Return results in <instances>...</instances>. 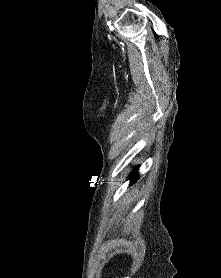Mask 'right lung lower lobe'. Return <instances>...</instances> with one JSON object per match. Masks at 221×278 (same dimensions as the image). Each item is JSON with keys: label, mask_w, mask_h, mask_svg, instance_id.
Here are the masks:
<instances>
[{"label": "right lung lower lobe", "mask_w": 221, "mask_h": 278, "mask_svg": "<svg viewBox=\"0 0 221 278\" xmlns=\"http://www.w3.org/2000/svg\"><path fill=\"white\" fill-rule=\"evenodd\" d=\"M137 171H138V168H135L133 170V172L130 174V176H129V179H131L130 185H132V184H134L136 182V180L138 178Z\"/></svg>", "instance_id": "98d812e1"}]
</instances>
